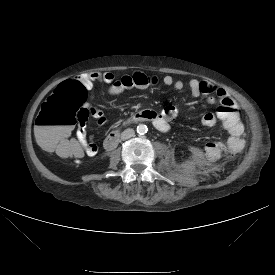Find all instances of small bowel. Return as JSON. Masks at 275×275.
I'll return each mask as SVG.
<instances>
[{
	"label": "small bowel",
	"mask_w": 275,
	"mask_h": 275,
	"mask_svg": "<svg viewBox=\"0 0 275 275\" xmlns=\"http://www.w3.org/2000/svg\"><path fill=\"white\" fill-rule=\"evenodd\" d=\"M113 75L110 73H95L80 75L77 77L86 88H91L94 82H100L105 84H111L113 82ZM162 82L168 87H172L175 90H182L184 83L181 80H176L170 75L163 77ZM188 87L193 96L198 97L200 95H207L208 99L202 103V110H205L210 104L214 103L215 98L219 99L221 103L230 101L235 104L230 95L222 88L216 87L209 82L199 81L191 79L188 82ZM91 115L96 119L99 125L106 123L103 112L98 107L90 106ZM178 116V110L175 106H167L163 110L157 105H152L147 108L145 117L148 122L154 124V126L161 132H167L171 128V124ZM201 122L204 126L212 127L219 123L216 113L204 112L201 117ZM229 134V141L226 143L219 139L210 140L203 149V156L208 161H215L225 156V154H236L244 146V125L242 121L240 125L233 130L225 129ZM76 138L81 149V153L94 156L98 152V146L95 143L94 135H87L86 123H80L77 127Z\"/></svg>",
	"instance_id": "1"
}]
</instances>
